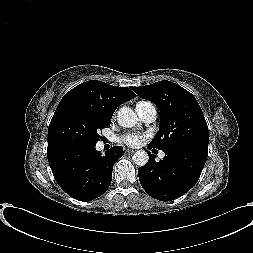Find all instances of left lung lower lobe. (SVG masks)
<instances>
[{
	"instance_id": "1",
	"label": "left lung lower lobe",
	"mask_w": 253,
	"mask_h": 253,
	"mask_svg": "<svg viewBox=\"0 0 253 253\" xmlns=\"http://www.w3.org/2000/svg\"><path fill=\"white\" fill-rule=\"evenodd\" d=\"M147 152L149 161L138 169L139 180L143 189L160 201L174 200L188 192L197 183L207 159L203 153L173 148L164 150L165 157L156 162L154 154Z\"/></svg>"
}]
</instances>
